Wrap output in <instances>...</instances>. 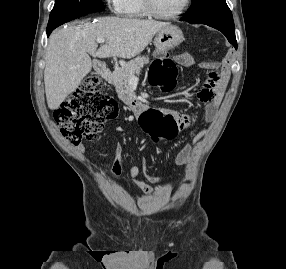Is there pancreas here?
Here are the masks:
<instances>
[{"label":"pancreas","mask_w":286,"mask_h":269,"mask_svg":"<svg viewBox=\"0 0 286 269\" xmlns=\"http://www.w3.org/2000/svg\"><path fill=\"white\" fill-rule=\"evenodd\" d=\"M149 63L148 57H137L125 66L115 67L112 74V84L115 86L119 99L125 103L135 98V93L129 85L132 77L139 75L145 64Z\"/></svg>","instance_id":"1"}]
</instances>
